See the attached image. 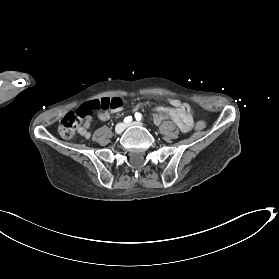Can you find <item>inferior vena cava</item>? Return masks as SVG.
Masks as SVG:
<instances>
[{"label":"inferior vena cava","mask_w":279,"mask_h":279,"mask_svg":"<svg viewBox=\"0 0 279 279\" xmlns=\"http://www.w3.org/2000/svg\"><path fill=\"white\" fill-rule=\"evenodd\" d=\"M117 127H120L122 129V131H123L126 127H128V124H127V122L124 121V123L117 124L115 129Z\"/></svg>","instance_id":"602c4592"}]
</instances>
